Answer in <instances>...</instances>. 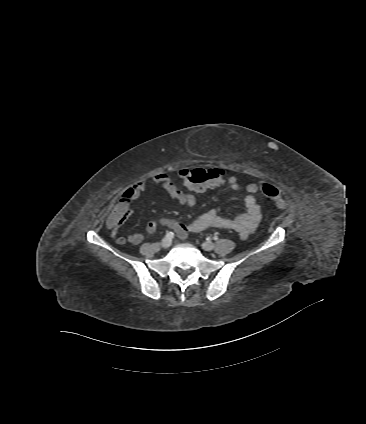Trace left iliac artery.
Masks as SVG:
<instances>
[{"mask_svg": "<svg viewBox=\"0 0 366 424\" xmlns=\"http://www.w3.org/2000/svg\"><path fill=\"white\" fill-rule=\"evenodd\" d=\"M213 239H214V240H218V236H216V235H215V236L213 237Z\"/></svg>", "mask_w": 366, "mask_h": 424, "instance_id": "1", "label": "left iliac artery"}]
</instances>
